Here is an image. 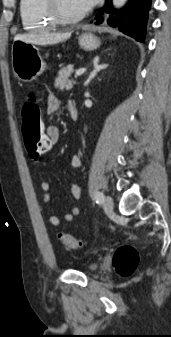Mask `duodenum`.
<instances>
[{
	"label": "duodenum",
	"instance_id": "obj_1",
	"mask_svg": "<svg viewBox=\"0 0 171 337\" xmlns=\"http://www.w3.org/2000/svg\"><path fill=\"white\" fill-rule=\"evenodd\" d=\"M71 118L76 121L78 119V107L76 103L70 102L68 105Z\"/></svg>",
	"mask_w": 171,
	"mask_h": 337
}]
</instances>
